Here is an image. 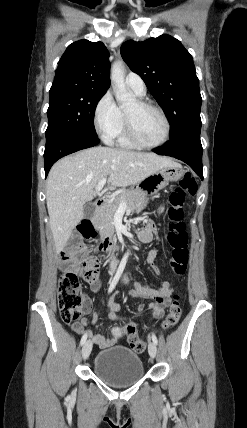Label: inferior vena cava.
Segmentation results:
<instances>
[{
    "label": "inferior vena cava",
    "instance_id": "1",
    "mask_svg": "<svg viewBox=\"0 0 247 428\" xmlns=\"http://www.w3.org/2000/svg\"><path fill=\"white\" fill-rule=\"evenodd\" d=\"M116 265H117L116 259L113 258L112 261H111V268H115Z\"/></svg>",
    "mask_w": 247,
    "mask_h": 428
}]
</instances>
